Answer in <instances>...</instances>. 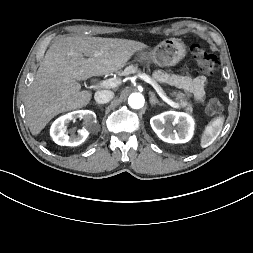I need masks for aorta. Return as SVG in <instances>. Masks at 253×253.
Instances as JSON below:
<instances>
[{
  "instance_id": "aorta-1",
  "label": "aorta",
  "mask_w": 253,
  "mask_h": 253,
  "mask_svg": "<svg viewBox=\"0 0 253 253\" xmlns=\"http://www.w3.org/2000/svg\"><path fill=\"white\" fill-rule=\"evenodd\" d=\"M144 97L140 93H132L128 98V104L134 109H140L144 106Z\"/></svg>"
}]
</instances>
